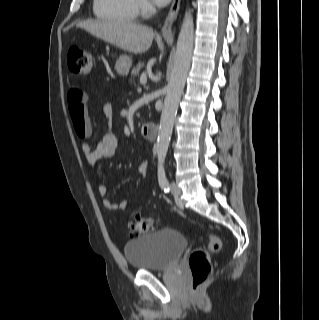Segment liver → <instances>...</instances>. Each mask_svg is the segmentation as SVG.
I'll return each instance as SVG.
<instances>
[{
    "label": "liver",
    "mask_w": 319,
    "mask_h": 320,
    "mask_svg": "<svg viewBox=\"0 0 319 320\" xmlns=\"http://www.w3.org/2000/svg\"><path fill=\"white\" fill-rule=\"evenodd\" d=\"M90 34L134 54L146 52L155 36L152 28L122 20H87L77 24Z\"/></svg>",
    "instance_id": "6515ba94"
}]
</instances>
